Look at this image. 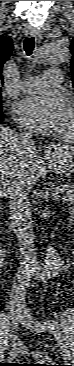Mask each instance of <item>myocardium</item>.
I'll list each match as a JSON object with an SVG mask.
<instances>
[{
  "instance_id": "obj_1",
  "label": "myocardium",
  "mask_w": 74,
  "mask_h": 366,
  "mask_svg": "<svg viewBox=\"0 0 74 366\" xmlns=\"http://www.w3.org/2000/svg\"><path fill=\"white\" fill-rule=\"evenodd\" d=\"M67 133L68 134H73L74 133V109L72 108L71 110V126L69 129H67Z\"/></svg>"
}]
</instances>
